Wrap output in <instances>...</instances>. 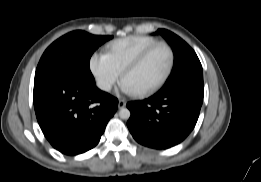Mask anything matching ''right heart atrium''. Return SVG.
Instances as JSON below:
<instances>
[{
  "mask_svg": "<svg viewBox=\"0 0 261 182\" xmlns=\"http://www.w3.org/2000/svg\"><path fill=\"white\" fill-rule=\"evenodd\" d=\"M89 67L97 86L104 92H109L121 78V73L104 53H94Z\"/></svg>",
  "mask_w": 261,
  "mask_h": 182,
  "instance_id": "1",
  "label": "right heart atrium"
}]
</instances>
